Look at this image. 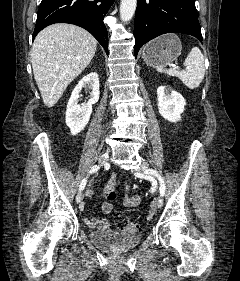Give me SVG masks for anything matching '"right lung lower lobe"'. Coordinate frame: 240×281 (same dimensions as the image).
<instances>
[{
	"mask_svg": "<svg viewBox=\"0 0 240 281\" xmlns=\"http://www.w3.org/2000/svg\"><path fill=\"white\" fill-rule=\"evenodd\" d=\"M113 0H42L33 38L46 26L70 23L89 31L108 54V33L103 18Z\"/></svg>",
	"mask_w": 240,
	"mask_h": 281,
	"instance_id": "obj_1",
	"label": "right lung lower lobe"
}]
</instances>
